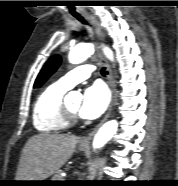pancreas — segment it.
Listing matches in <instances>:
<instances>
[{
    "mask_svg": "<svg viewBox=\"0 0 178 186\" xmlns=\"http://www.w3.org/2000/svg\"><path fill=\"white\" fill-rule=\"evenodd\" d=\"M53 181H62V176L60 172H57L54 176H53Z\"/></svg>",
    "mask_w": 178,
    "mask_h": 186,
    "instance_id": "1",
    "label": "pancreas"
}]
</instances>
